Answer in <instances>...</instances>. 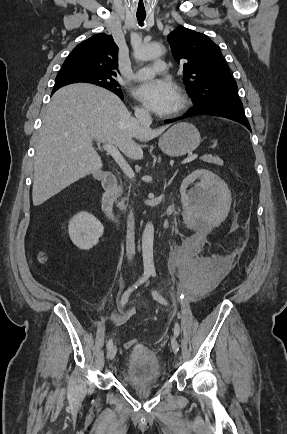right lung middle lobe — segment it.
I'll return each instance as SVG.
<instances>
[{"mask_svg":"<svg viewBox=\"0 0 287 434\" xmlns=\"http://www.w3.org/2000/svg\"><path fill=\"white\" fill-rule=\"evenodd\" d=\"M116 76L96 73L88 70L78 68L61 69L58 73L55 86L67 85L71 83H91L104 87L117 95L122 92L119 89V84L116 81Z\"/></svg>","mask_w":287,"mask_h":434,"instance_id":"1","label":"right lung middle lobe"}]
</instances>
